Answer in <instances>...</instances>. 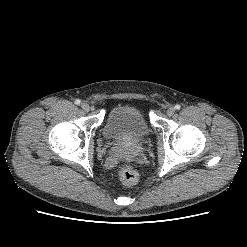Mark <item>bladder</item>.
<instances>
[{"instance_id":"1","label":"bladder","mask_w":247,"mask_h":247,"mask_svg":"<svg viewBox=\"0 0 247 247\" xmlns=\"http://www.w3.org/2000/svg\"><path fill=\"white\" fill-rule=\"evenodd\" d=\"M150 133V125L144 114L128 105L114 107L108 113L103 127L107 139L132 145L142 143Z\"/></svg>"}]
</instances>
